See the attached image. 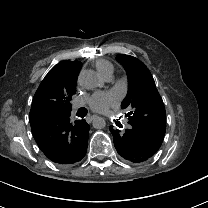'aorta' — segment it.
Returning a JSON list of instances; mask_svg holds the SVG:
<instances>
[{
	"label": "aorta",
	"instance_id": "762f6f07",
	"mask_svg": "<svg viewBox=\"0 0 208 208\" xmlns=\"http://www.w3.org/2000/svg\"><path fill=\"white\" fill-rule=\"evenodd\" d=\"M92 125L96 129H102L105 127L106 123L103 117L100 116H94V119L92 121Z\"/></svg>",
	"mask_w": 208,
	"mask_h": 208
}]
</instances>
